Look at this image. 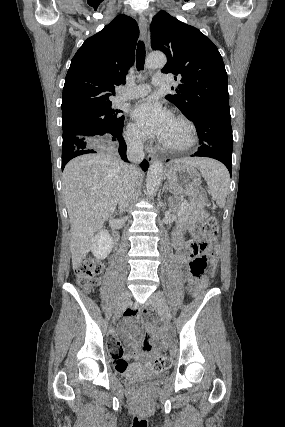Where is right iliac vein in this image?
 I'll list each match as a JSON object with an SVG mask.
<instances>
[{"label": "right iliac vein", "mask_w": 285, "mask_h": 427, "mask_svg": "<svg viewBox=\"0 0 285 427\" xmlns=\"http://www.w3.org/2000/svg\"><path fill=\"white\" fill-rule=\"evenodd\" d=\"M130 299H131L130 291L125 290L121 296L119 306L115 312L114 321H116L121 316V314L124 312V310L126 309V307L128 306V304L130 302Z\"/></svg>", "instance_id": "obj_1"}]
</instances>
